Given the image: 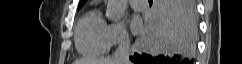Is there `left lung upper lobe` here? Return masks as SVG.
Masks as SVG:
<instances>
[{
  "label": "left lung upper lobe",
  "instance_id": "left-lung-upper-lobe-1",
  "mask_svg": "<svg viewBox=\"0 0 242 64\" xmlns=\"http://www.w3.org/2000/svg\"><path fill=\"white\" fill-rule=\"evenodd\" d=\"M86 2V0H80L79 8Z\"/></svg>",
  "mask_w": 242,
  "mask_h": 64
}]
</instances>
